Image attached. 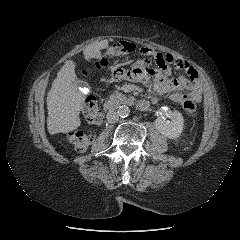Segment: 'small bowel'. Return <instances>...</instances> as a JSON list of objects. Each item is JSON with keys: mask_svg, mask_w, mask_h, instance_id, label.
<instances>
[{"mask_svg": "<svg viewBox=\"0 0 240 240\" xmlns=\"http://www.w3.org/2000/svg\"><path fill=\"white\" fill-rule=\"evenodd\" d=\"M139 53L144 59L133 62L130 71L115 67L106 83L110 84L121 79L146 83L158 93L151 99L153 104H156L162 95H168L172 101L177 103H181L184 96L194 102H200L201 85L198 73L189 63L172 54L160 53L152 47H142ZM152 63H155L157 68L150 67ZM170 65L183 70L185 75L169 78L172 74ZM181 91H185L186 94Z\"/></svg>", "mask_w": 240, "mask_h": 240, "instance_id": "obj_1", "label": "small bowel"}]
</instances>
